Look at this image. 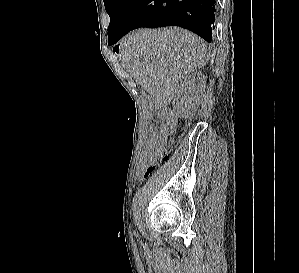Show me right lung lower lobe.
Here are the masks:
<instances>
[{
	"instance_id": "98d812e1",
	"label": "right lung lower lobe",
	"mask_w": 299,
	"mask_h": 273,
	"mask_svg": "<svg viewBox=\"0 0 299 273\" xmlns=\"http://www.w3.org/2000/svg\"><path fill=\"white\" fill-rule=\"evenodd\" d=\"M215 13L216 0H134L111 44L133 29L163 26H180L211 42Z\"/></svg>"
}]
</instances>
